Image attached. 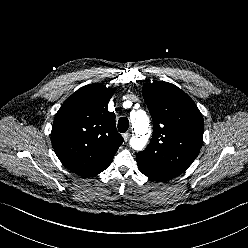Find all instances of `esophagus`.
<instances>
[{"label":"esophagus","instance_id":"34e87169","mask_svg":"<svg viewBox=\"0 0 248 248\" xmlns=\"http://www.w3.org/2000/svg\"><path fill=\"white\" fill-rule=\"evenodd\" d=\"M122 136H123V139H124L125 141H128L131 135H130V133L126 132V133H124Z\"/></svg>","mask_w":248,"mask_h":248}]
</instances>
